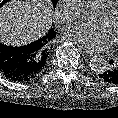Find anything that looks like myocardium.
Instances as JSON below:
<instances>
[{"label": "myocardium", "instance_id": "f54148a6", "mask_svg": "<svg viewBox=\"0 0 118 118\" xmlns=\"http://www.w3.org/2000/svg\"><path fill=\"white\" fill-rule=\"evenodd\" d=\"M116 13H118V1L100 11V15L107 19L112 18ZM113 47L118 48V42L113 43Z\"/></svg>", "mask_w": 118, "mask_h": 118}]
</instances>
